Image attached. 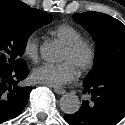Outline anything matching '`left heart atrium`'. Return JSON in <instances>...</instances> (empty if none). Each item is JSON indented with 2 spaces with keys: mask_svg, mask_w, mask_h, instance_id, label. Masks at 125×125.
Wrapping results in <instances>:
<instances>
[{
  "mask_svg": "<svg viewBox=\"0 0 125 125\" xmlns=\"http://www.w3.org/2000/svg\"><path fill=\"white\" fill-rule=\"evenodd\" d=\"M76 75L77 69L69 60L60 63H44L32 72L34 81L54 87L72 82Z\"/></svg>",
  "mask_w": 125,
  "mask_h": 125,
  "instance_id": "obj_1",
  "label": "left heart atrium"
}]
</instances>
